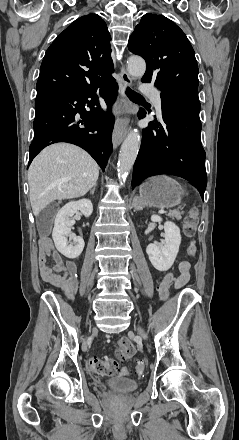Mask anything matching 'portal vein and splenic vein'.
I'll return each mask as SVG.
<instances>
[{
	"mask_svg": "<svg viewBox=\"0 0 239 440\" xmlns=\"http://www.w3.org/2000/svg\"><path fill=\"white\" fill-rule=\"evenodd\" d=\"M159 214L161 215V214H165V211H164V209L162 208V209H159Z\"/></svg>",
	"mask_w": 239,
	"mask_h": 440,
	"instance_id": "18ae733b",
	"label": "portal vein and splenic vein"
}]
</instances>
